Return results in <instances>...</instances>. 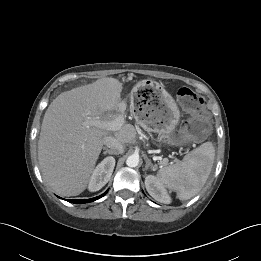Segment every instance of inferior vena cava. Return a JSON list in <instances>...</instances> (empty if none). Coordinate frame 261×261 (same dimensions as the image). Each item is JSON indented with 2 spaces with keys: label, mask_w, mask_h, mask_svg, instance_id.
<instances>
[{
  "label": "inferior vena cava",
  "mask_w": 261,
  "mask_h": 261,
  "mask_svg": "<svg viewBox=\"0 0 261 261\" xmlns=\"http://www.w3.org/2000/svg\"><path fill=\"white\" fill-rule=\"evenodd\" d=\"M104 145L109 148L114 154H121L124 152V147L115 137L107 136L104 137Z\"/></svg>",
  "instance_id": "obj_1"
}]
</instances>
